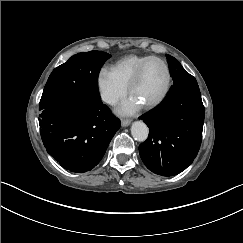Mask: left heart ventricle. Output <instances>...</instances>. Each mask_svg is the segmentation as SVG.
Segmentation results:
<instances>
[{"mask_svg":"<svg viewBox=\"0 0 243 243\" xmlns=\"http://www.w3.org/2000/svg\"><path fill=\"white\" fill-rule=\"evenodd\" d=\"M167 83L168 73L165 66L159 61H151L131 89L130 95L145 105L158 99L166 89Z\"/></svg>","mask_w":243,"mask_h":243,"instance_id":"obj_1","label":"left heart ventricle"}]
</instances>
